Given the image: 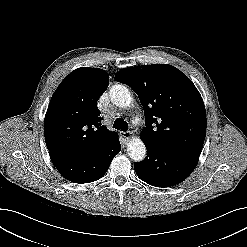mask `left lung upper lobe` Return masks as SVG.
Returning a JSON list of instances; mask_svg holds the SVG:
<instances>
[{"instance_id": "5c2ea615", "label": "left lung upper lobe", "mask_w": 247, "mask_h": 247, "mask_svg": "<svg viewBox=\"0 0 247 247\" xmlns=\"http://www.w3.org/2000/svg\"><path fill=\"white\" fill-rule=\"evenodd\" d=\"M115 80L130 86L144 108L143 142L199 157L206 136V112L192 81L171 65L124 68Z\"/></svg>"}]
</instances>
